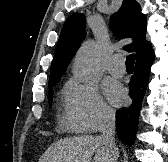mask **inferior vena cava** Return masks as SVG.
<instances>
[{
    "label": "inferior vena cava",
    "mask_w": 168,
    "mask_h": 162,
    "mask_svg": "<svg viewBox=\"0 0 168 162\" xmlns=\"http://www.w3.org/2000/svg\"><path fill=\"white\" fill-rule=\"evenodd\" d=\"M115 124L116 117L115 111L111 109H106L103 111L102 121H101V140L103 141L105 147L109 149L113 155V159L116 162L118 157V148L115 144Z\"/></svg>",
    "instance_id": "obj_1"
}]
</instances>
